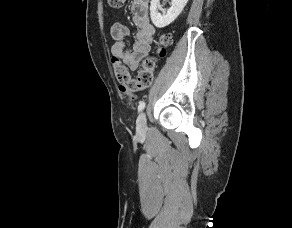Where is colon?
I'll list each match as a JSON object with an SVG mask.
<instances>
[{"label":"colon","mask_w":292,"mask_h":228,"mask_svg":"<svg viewBox=\"0 0 292 228\" xmlns=\"http://www.w3.org/2000/svg\"><path fill=\"white\" fill-rule=\"evenodd\" d=\"M107 2L112 8H120L125 0H107ZM170 44L171 37L168 34L161 35L155 53L142 61L135 78L131 76L124 66H115L114 71L119 82L120 91L123 94L134 98L139 91L149 88L153 82L157 61L159 58L165 56L167 47Z\"/></svg>","instance_id":"colon-1"}]
</instances>
